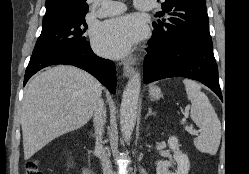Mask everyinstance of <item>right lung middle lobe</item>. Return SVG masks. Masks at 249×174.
I'll list each match as a JSON object with an SVG mask.
<instances>
[{"instance_id": "obj_1", "label": "right lung middle lobe", "mask_w": 249, "mask_h": 174, "mask_svg": "<svg viewBox=\"0 0 249 174\" xmlns=\"http://www.w3.org/2000/svg\"><path fill=\"white\" fill-rule=\"evenodd\" d=\"M88 25L85 16L57 22L42 27L33 53L63 47H88L85 36Z\"/></svg>"}]
</instances>
